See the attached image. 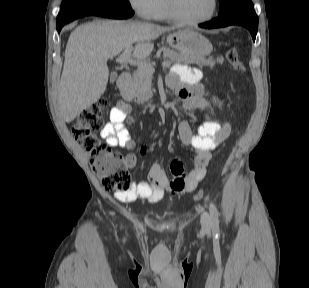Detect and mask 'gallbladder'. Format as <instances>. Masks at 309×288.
I'll return each mask as SVG.
<instances>
[{
    "label": "gallbladder",
    "instance_id": "obj_1",
    "mask_svg": "<svg viewBox=\"0 0 309 288\" xmlns=\"http://www.w3.org/2000/svg\"><path fill=\"white\" fill-rule=\"evenodd\" d=\"M116 78H117V74L115 72L111 73V77H110L111 82H114Z\"/></svg>",
    "mask_w": 309,
    "mask_h": 288
}]
</instances>
